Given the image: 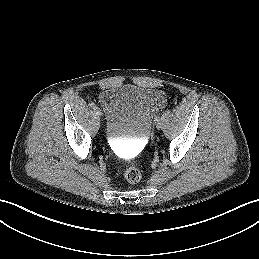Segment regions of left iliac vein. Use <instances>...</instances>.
<instances>
[{
	"label": "left iliac vein",
	"instance_id": "4c4485c4",
	"mask_svg": "<svg viewBox=\"0 0 259 259\" xmlns=\"http://www.w3.org/2000/svg\"><path fill=\"white\" fill-rule=\"evenodd\" d=\"M157 127H158V128H160V127H161V124H160V123H158V124H157Z\"/></svg>",
	"mask_w": 259,
	"mask_h": 259
}]
</instances>
